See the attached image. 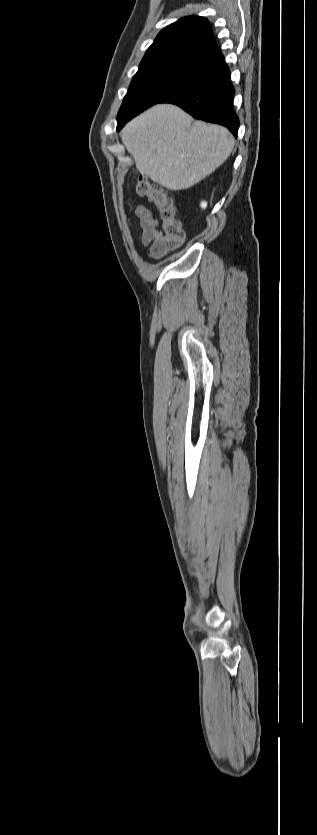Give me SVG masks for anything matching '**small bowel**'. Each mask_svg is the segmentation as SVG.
I'll return each mask as SVG.
<instances>
[{"label": "small bowel", "mask_w": 317, "mask_h": 835, "mask_svg": "<svg viewBox=\"0 0 317 835\" xmlns=\"http://www.w3.org/2000/svg\"><path fill=\"white\" fill-rule=\"evenodd\" d=\"M135 213L140 220L139 240L145 246H150V254L159 257L163 253L158 249L162 239V232L158 229V220L150 209L143 204L135 207Z\"/></svg>", "instance_id": "small-bowel-1"}]
</instances>
